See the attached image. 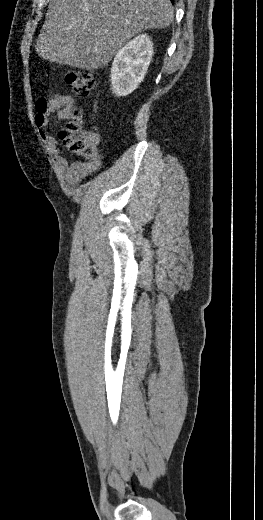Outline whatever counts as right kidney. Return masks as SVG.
I'll list each match as a JSON object with an SVG mask.
<instances>
[{"label": "right kidney", "mask_w": 263, "mask_h": 520, "mask_svg": "<svg viewBox=\"0 0 263 520\" xmlns=\"http://www.w3.org/2000/svg\"><path fill=\"white\" fill-rule=\"evenodd\" d=\"M153 44L147 34L135 37L120 49L112 63L111 86L116 96H127L143 81L152 60Z\"/></svg>", "instance_id": "right-kidney-1"}]
</instances>
